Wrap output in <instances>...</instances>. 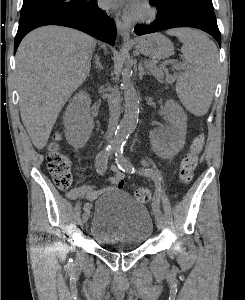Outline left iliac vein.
<instances>
[{
    "instance_id": "obj_1",
    "label": "left iliac vein",
    "mask_w": 245,
    "mask_h": 300,
    "mask_svg": "<svg viewBox=\"0 0 245 300\" xmlns=\"http://www.w3.org/2000/svg\"><path fill=\"white\" fill-rule=\"evenodd\" d=\"M155 223L159 230L163 229V220L159 217H155Z\"/></svg>"
}]
</instances>
